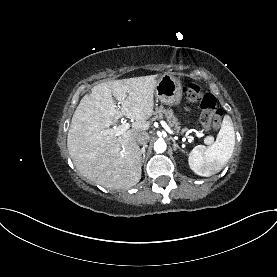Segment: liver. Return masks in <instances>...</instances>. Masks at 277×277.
I'll list each match as a JSON object with an SVG mask.
<instances>
[{"instance_id": "6515ba94", "label": "liver", "mask_w": 277, "mask_h": 277, "mask_svg": "<svg viewBox=\"0 0 277 277\" xmlns=\"http://www.w3.org/2000/svg\"><path fill=\"white\" fill-rule=\"evenodd\" d=\"M157 75L100 83L76 108L67 136L70 157L88 180L109 189H130L141 179V154L134 135L150 128ZM116 100L121 103L120 110ZM132 128L115 136L109 127L119 118Z\"/></svg>"}]
</instances>
